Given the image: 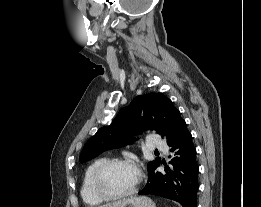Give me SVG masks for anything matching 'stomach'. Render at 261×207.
Wrapping results in <instances>:
<instances>
[{
  "mask_svg": "<svg viewBox=\"0 0 261 207\" xmlns=\"http://www.w3.org/2000/svg\"><path fill=\"white\" fill-rule=\"evenodd\" d=\"M105 207H156L153 200L146 196L129 197L107 204Z\"/></svg>",
  "mask_w": 261,
  "mask_h": 207,
  "instance_id": "0dacf381",
  "label": "stomach"
}]
</instances>
